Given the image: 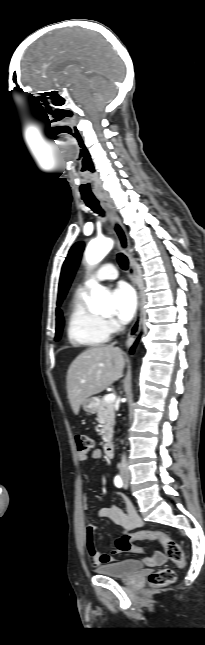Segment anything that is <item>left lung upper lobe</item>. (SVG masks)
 Returning a JSON list of instances; mask_svg holds the SVG:
<instances>
[{"label":"left lung upper lobe","instance_id":"obj_1","mask_svg":"<svg viewBox=\"0 0 205 645\" xmlns=\"http://www.w3.org/2000/svg\"><path fill=\"white\" fill-rule=\"evenodd\" d=\"M83 249H84V243L78 242L72 246V248L68 253V256L63 264L61 276H60L58 304H60L61 301L66 296V293L69 289V286L73 280L74 274L80 262Z\"/></svg>","mask_w":205,"mask_h":645}]
</instances>
